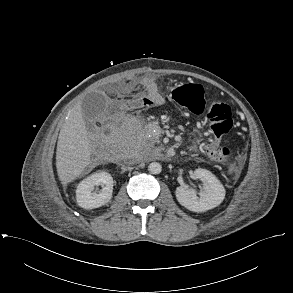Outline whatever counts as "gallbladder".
<instances>
[{"mask_svg":"<svg viewBox=\"0 0 293 293\" xmlns=\"http://www.w3.org/2000/svg\"><path fill=\"white\" fill-rule=\"evenodd\" d=\"M106 106L107 98L105 95L91 92L82 100V115L86 120L97 119L104 112Z\"/></svg>","mask_w":293,"mask_h":293,"instance_id":"bac80fb5","label":"gallbladder"}]
</instances>
